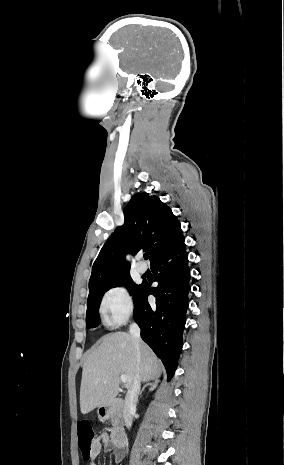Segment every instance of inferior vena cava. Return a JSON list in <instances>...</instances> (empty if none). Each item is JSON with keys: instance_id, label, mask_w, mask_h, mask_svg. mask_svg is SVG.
Instances as JSON below:
<instances>
[{"instance_id": "602c4592", "label": "inferior vena cava", "mask_w": 284, "mask_h": 465, "mask_svg": "<svg viewBox=\"0 0 284 465\" xmlns=\"http://www.w3.org/2000/svg\"><path fill=\"white\" fill-rule=\"evenodd\" d=\"M130 335H132V337H135V339H140V329L138 325H135V323H133V325H130ZM136 353H137V361H140V353H139L138 347H137ZM139 393H140V377H139V373H137V377L133 383V387L129 389L125 397L123 417H124V423L126 427H128V429L132 425V419L136 411Z\"/></svg>"}]
</instances>
